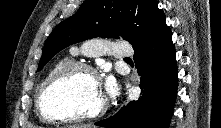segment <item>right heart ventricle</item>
Here are the masks:
<instances>
[{"instance_id":"1","label":"right heart ventricle","mask_w":221,"mask_h":128,"mask_svg":"<svg viewBox=\"0 0 221 128\" xmlns=\"http://www.w3.org/2000/svg\"><path fill=\"white\" fill-rule=\"evenodd\" d=\"M72 61V54L71 55H67L64 57L59 58L56 62H54V64L50 67L48 73L46 74L43 82L49 78L52 74H54L55 72H57L58 70H60L62 67H64L65 65H67L68 63H70Z\"/></svg>"}]
</instances>
